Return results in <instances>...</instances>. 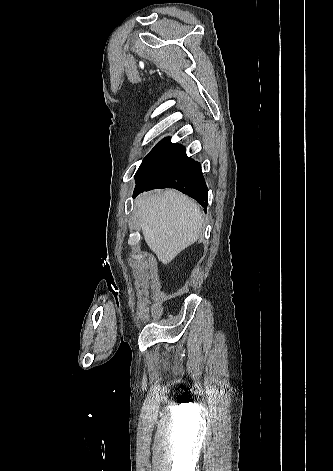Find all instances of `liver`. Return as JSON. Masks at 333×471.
Instances as JSON below:
<instances>
[{
  "instance_id": "1",
  "label": "liver",
  "mask_w": 333,
  "mask_h": 471,
  "mask_svg": "<svg viewBox=\"0 0 333 471\" xmlns=\"http://www.w3.org/2000/svg\"><path fill=\"white\" fill-rule=\"evenodd\" d=\"M135 209L147 245L163 264L202 234L200 206L175 190L142 194L136 199Z\"/></svg>"
}]
</instances>
